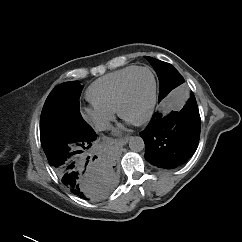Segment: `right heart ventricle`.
<instances>
[{"instance_id":"e07e8e85","label":"right heart ventricle","mask_w":242,"mask_h":242,"mask_svg":"<svg viewBox=\"0 0 242 242\" xmlns=\"http://www.w3.org/2000/svg\"><path fill=\"white\" fill-rule=\"evenodd\" d=\"M136 68L137 66H127L97 79L87 90L88 100L97 107L115 111L121 86Z\"/></svg>"}]
</instances>
